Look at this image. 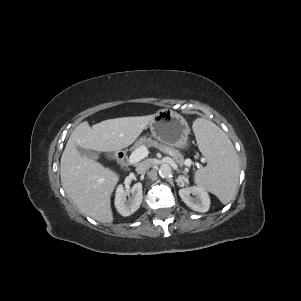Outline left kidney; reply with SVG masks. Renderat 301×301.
I'll list each match as a JSON object with an SVG mask.
<instances>
[{
    "label": "left kidney",
    "mask_w": 301,
    "mask_h": 301,
    "mask_svg": "<svg viewBox=\"0 0 301 301\" xmlns=\"http://www.w3.org/2000/svg\"><path fill=\"white\" fill-rule=\"evenodd\" d=\"M191 194L193 196H191ZM179 196L192 210L205 213L210 207V198L207 191L200 186L186 187L179 190Z\"/></svg>",
    "instance_id": "5707ae66"
}]
</instances>
